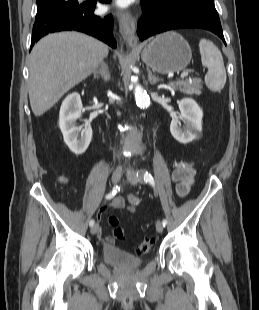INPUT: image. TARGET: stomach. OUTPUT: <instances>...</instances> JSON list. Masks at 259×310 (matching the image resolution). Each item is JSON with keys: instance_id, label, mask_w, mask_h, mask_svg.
<instances>
[{"instance_id": "1", "label": "stomach", "mask_w": 259, "mask_h": 310, "mask_svg": "<svg viewBox=\"0 0 259 310\" xmlns=\"http://www.w3.org/2000/svg\"><path fill=\"white\" fill-rule=\"evenodd\" d=\"M191 57L189 44L175 32L158 35L141 51L143 62L152 70L162 74L184 70L190 63Z\"/></svg>"}]
</instances>
